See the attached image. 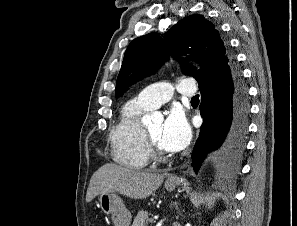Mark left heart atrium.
<instances>
[{"mask_svg": "<svg viewBox=\"0 0 297 226\" xmlns=\"http://www.w3.org/2000/svg\"><path fill=\"white\" fill-rule=\"evenodd\" d=\"M189 140L190 128L186 119L179 111H172L163 124L159 146L167 152H178Z\"/></svg>", "mask_w": 297, "mask_h": 226, "instance_id": "obj_1", "label": "left heart atrium"}]
</instances>
